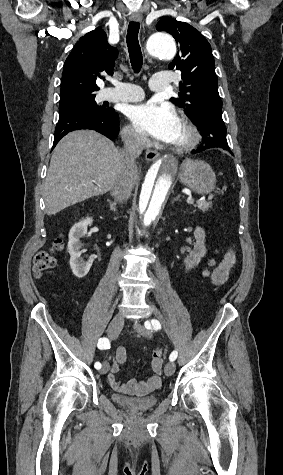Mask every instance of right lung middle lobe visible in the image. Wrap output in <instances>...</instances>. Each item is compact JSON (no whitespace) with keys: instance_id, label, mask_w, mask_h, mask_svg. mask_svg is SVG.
I'll return each instance as SVG.
<instances>
[{"instance_id":"1","label":"right lung middle lobe","mask_w":283,"mask_h":475,"mask_svg":"<svg viewBox=\"0 0 283 475\" xmlns=\"http://www.w3.org/2000/svg\"><path fill=\"white\" fill-rule=\"evenodd\" d=\"M95 93L82 91H61L59 112L72 108H84L94 112L99 116H106L110 112V108L98 106L95 102Z\"/></svg>"}]
</instances>
